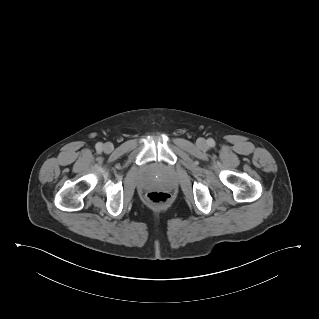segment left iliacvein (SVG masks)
<instances>
[{
    "label": "left iliac vein",
    "mask_w": 319,
    "mask_h": 319,
    "mask_svg": "<svg viewBox=\"0 0 319 319\" xmlns=\"http://www.w3.org/2000/svg\"><path fill=\"white\" fill-rule=\"evenodd\" d=\"M198 146L201 148H205L206 147V141L204 139H199L197 142Z\"/></svg>",
    "instance_id": "obj_1"
}]
</instances>
